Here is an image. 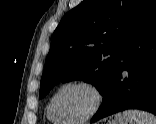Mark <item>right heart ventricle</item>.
Returning a JSON list of instances; mask_svg holds the SVG:
<instances>
[{
	"label": "right heart ventricle",
	"instance_id": "obj_1",
	"mask_svg": "<svg viewBox=\"0 0 156 124\" xmlns=\"http://www.w3.org/2000/svg\"><path fill=\"white\" fill-rule=\"evenodd\" d=\"M50 104V102H49ZM47 106V111H46V114H47V118L52 122V123H55V124H65L61 119H58L56 117H54V115L52 114L51 110H50V106Z\"/></svg>",
	"mask_w": 156,
	"mask_h": 124
}]
</instances>
